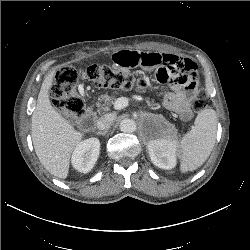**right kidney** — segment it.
I'll return each mask as SVG.
<instances>
[{
  "label": "right kidney",
  "mask_w": 250,
  "mask_h": 250,
  "mask_svg": "<svg viewBox=\"0 0 250 250\" xmlns=\"http://www.w3.org/2000/svg\"><path fill=\"white\" fill-rule=\"evenodd\" d=\"M100 152L98 138H89L81 141L74 149L71 163L79 172L88 173L94 167Z\"/></svg>",
  "instance_id": "ca27d5eb"
}]
</instances>
